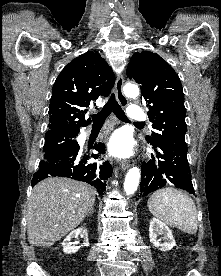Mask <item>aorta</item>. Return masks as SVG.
<instances>
[{
    "instance_id": "762f6f07",
    "label": "aorta",
    "mask_w": 221,
    "mask_h": 276,
    "mask_svg": "<svg viewBox=\"0 0 221 276\" xmlns=\"http://www.w3.org/2000/svg\"><path fill=\"white\" fill-rule=\"evenodd\" d=\"M124 93L129 98L139 96V88L134 84H127L124 87ZM140 180V170L137 167L129 169L124 181V191L127 195H132L137 190Z\"/></svg>"
}]
</instances>
